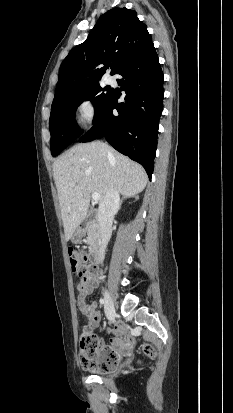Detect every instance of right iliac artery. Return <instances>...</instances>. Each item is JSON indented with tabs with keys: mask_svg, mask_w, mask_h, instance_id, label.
<instances>
[{
	"mask_svg": "<svg viewBox=\"0 0 233 413\" xmlns=\"http://www.w3.org/2000/svg\"><path fill=\"white\" fill-rule=\"evenodd\" d=\"M100 303H101V304H104V303H105L104 299L101 298V299H100Z\"/></svg>",
	"mask_w": 233,
	"mask_h": 413,
	"instance_id": "1",
	"label": "right iliac artery"
}]
</instances>
